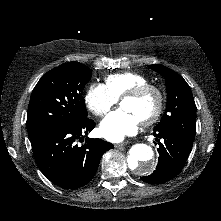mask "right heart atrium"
Returning <instances> with one entry per match:
<instances>
[{
    "label": "right heart atrium",
    "instance_id": "1",
    "mask_svg": "<svg viewBox=\"0 0 221 221\" xmlns=\"http://www.w3.org/2000/svg\"><path fill=\"white\" fill-rule=\"evenodd\" d=\"M117 101L103 84L90 85L85 95L87 108L96 116L107 114Z\"/></svg>",
    "mask_w": 221,
    "mask_h": 221
}]
</instances>
